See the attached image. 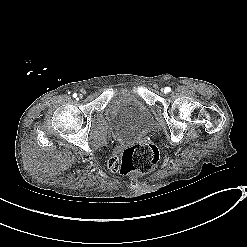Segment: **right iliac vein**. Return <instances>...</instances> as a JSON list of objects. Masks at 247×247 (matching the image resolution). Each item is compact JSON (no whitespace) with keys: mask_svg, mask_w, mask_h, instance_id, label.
<instances>
[{"mask_svg":"<svg viewBox=\"0 0 247 247\" xmlns=\"http://www.w3.org/2000/svg\"><path fill=\"white\" fill-rule=\"evenodd\" d=\"M79 97L82 98V95L80 94Z\"/></svg>","mask_w":247,"mask_h":247,"instance_id":"63e3f726","label":"right iliac vein"}]
</instances>
